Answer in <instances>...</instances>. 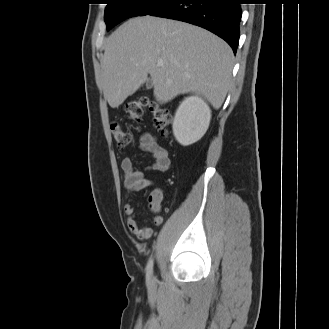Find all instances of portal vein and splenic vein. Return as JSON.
Wrapping results in <instances>:
<instances>
[{
  "label": "portal vein and splenic vein",
  "mask_w": 329,
  "mask_h": 329,
  "mask_svg": "<svg viewBox=\"0 0 329 329\" xmlns=\"http://www.w3.org/2000/svg\"><path fill=\"white\" fill-rule=\"evenodd\" d=\"M157 65L160 66V67L163 66V61H158Z\"/></svg>",
  "instance_id": "portal-vein-and-splenic-vein-1"
}]
</instances>
